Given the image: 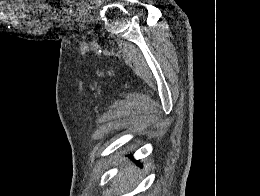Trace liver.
Returning a JSON list of instances; mask_svg holds the SVG:
<instances>
[{"mask_svg":"<svg viewBox=\"0 0 260 196\" xmlns=\"http://www.w3.org/2000/svg\"><path fill=\"white\" fill-rule=\"evenodd\" d=\"M137 166H128V168H124V170H121V172H118V182L121 184V192H128L130 188H134L136 184H138V174H137Z\"/></svg>","mask_w":260,"mask_h":196,"instance_id":"6515ba94","label":"liver"}]
</instances>
